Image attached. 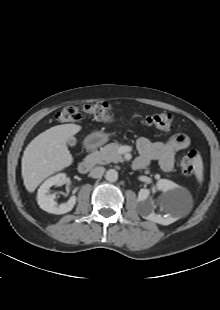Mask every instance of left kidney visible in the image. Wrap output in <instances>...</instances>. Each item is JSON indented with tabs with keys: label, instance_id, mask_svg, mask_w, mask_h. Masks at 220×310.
I'll return each instance as SVG.
<instances>
[{
	"label": "left kidney",
	"instance_id": "1",
	"mask_svg": "<svg viewBox=\"0 0 220 310\" xmlns=\"http://www.w3.org/2000/svg\"><path fill=\"white\" fill-rule=\"evenodd\" d=\"M157 189L167 193V197L162 200V204L173 195L176 191L180 190V187L167 179H160L156 184ZM150 191L148 189H141L138 193V202L140 208V214L143 218L159 223L161 225H169L173 222V218L170 216L162 217L154 213L155 204L149 199Z\"/></svg>",
	"mask_w": 220,
	"mask_h": 310
}]
</instances>
